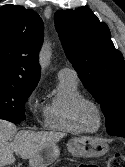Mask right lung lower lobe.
Segmentation results:
<instances>
[{
  "label": "right lung lower lobe",
  "instance_id": "98d812e1",
  "mask_svg": "<svg viewBox=\"0 0 125 167\" xmlns=\"http://www.w3.org/2000/svg\"><path fill=\"white\" fill-rule=\"evenodd\" d=\"M0 119H4V120L10 121V122H13V123H15V124L20 123V122H15V121H13V120H11V119H9V118H6V117H4V116H0Z\"/></svg>",
  "mask_w": 125,
  "mask_h": 167
}]
</instances>
